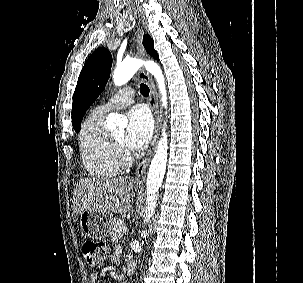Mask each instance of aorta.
I'll return each mask as SVG.
<instances>
[{"instance_id": "762f6f07", "label": "aorta", "mask_w": 303, "mask_h": 283, "mask_svg": "<svg viewBox=\"0 0 303 283\" xmlns=\"http://www.w3.org/2000/svg\"><path fill=\"white\" fill-rule=\"evenodd\" d=\"M144 65L158 83L161 93L162 106L167 107V93L165 88V80L160 67L153 61L144 62L142 60L131 58L125 59L121 64L117 65L113 73V82L116 86L126 84L137 72V70ZM127 125L126 118L111 113L105 123V126L110 131H117L124 129ZM165 128L162 129V137L160 138L157 149L150 164L146 183V209L144 213V223L147 224L152 218L157 205L158 193L162 185L165 175L167 156H168V139ZM147 232V231H146ZM145 233V231H143Z\"/></svg>"}]
</instances>
